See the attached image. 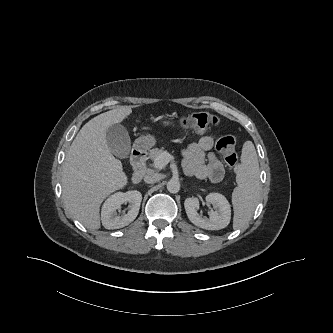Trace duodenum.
I'll use <instances>...</instances> for the list:
<instances>
[{
    "mask_svg": "<svg viewBox=\"0 0 333 333\" xmlns=\"http://www.w3.org/2000/svg\"><path fill=\"white\" fill-rule=\"evenodd\" d=\"M146 157L147 154L142 149H135L131 156V162L134 168V173L131 177L133 184H139L146 172Z\"/></svg>",
    "mask_w": 333,
    "mask_h": 333,
    "instance_id": "1",
    "label": "duodenum"
}]
</instances>
